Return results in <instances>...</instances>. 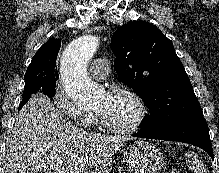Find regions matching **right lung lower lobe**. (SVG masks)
<instances>
[{
	"instance_id": "98d812e1",
	"label": "right lung lower lobe",
	"mask_w": 219,
	"mask_h": 173,
	"mask_svg": "<svg viewBox=\"0 0 219 173\" xmlns=\"http://www.w3.org/2000/svg\"><path fill=\"white\" fill-rule=\"evenodd\" d=\"M30 97H31V95H30V96H26V97H24V98L22 99V101L20 102V105H19V109H18V110H20V109L23 107V105L30 99Z\"/></svg>"
}]
</instances>
